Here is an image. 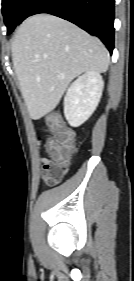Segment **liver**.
Returning a JSON list of instances; mask_svg holds the SVG:
<instances>
[{
  "label": "liver",
  "instance_id": "liver-1",
  "mask_svg": "<svg viewBox=\"0 0 134 281\" xmlns=\"http://www.w3.org/2000/svg\"><path fill=\"white\" fill-rule=\"evenodd\" d=\"M11 49L20 90L34 120L58 105L75 77L87 71L104 73L110 62L107 49L97 37L49 14L23 21Z\"/></svg>",
  "mask_w": 134,
  "mask_h": 281
}]
</instances>
